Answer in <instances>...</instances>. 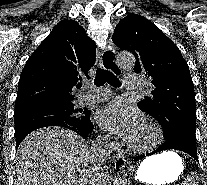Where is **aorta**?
Returning a JSON list of instances; mask_svg holds the SVG:
<instances>
[{
	"mask_svg": "<svg viewBox=\"0 0 207 185\" xmlns=\"http://www.w3.org/2000/svg\"><path fill=\"white\" fill-rule=\"evenodd\" d=\"M117 62L122 67L123 69H131L135 65V57L128 52L125 53H120L117 56ZM128 180L125 175V170L124 168L120 169L119 174L115 177L113 185H127Z\"/></svg>",
	"mask_w": 207,
	"mask_h": 185,
	"instance_id": "1",
	"label": "aorta"
}]
</instances>
